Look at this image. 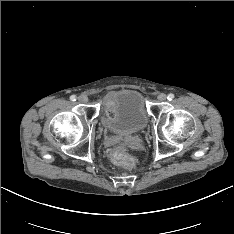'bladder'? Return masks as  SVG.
Masks as SVG:
<instances>
[{
  "label": "bladder",
  "mask_w": 234,
  "mask_h": 234,
  "mask_svg": "<svg viewBox=\"0 0 234 234\" xmlns=\"http://www.w3.org/2000/svg\"><path fill=\"white\" fill-rule=\"evenodd\" d=\"M102 115L106 128L118 135L138 133L148 122L143 97L136 90L109 93L103 102Z\"/></svg>",
  "instance_id": "1"
}]
</instances>
